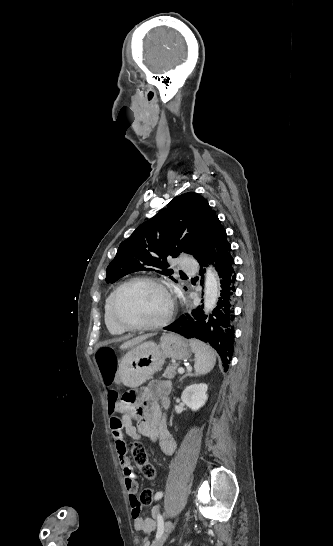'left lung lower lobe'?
I'll list each match as a JSON object with an SVG mask.
<instances>
[{
    "instance_id": "1",
    "label": "left lung lower lobe",
    "mask_w": 333,
    "mask_h": 546,
    "mask_svg": "<svg viewBox=\"0 0 333 546\" xmlns=\"http://www.w3.org/2000/svg\"><path fill=\"white\" fill-rule=\"evenodd\" d=\"M230 251L231 245L227 241L226 231L217 219L209 240L195 257L200 265V273L203 266L211 262L221 278L222 290L217 307L209 316L197 307L164 328L186 338H197L210 344L220 355L225 371L232 360L234 344L232 297L236 275Z\"/></svg>"
}]
</instances>
